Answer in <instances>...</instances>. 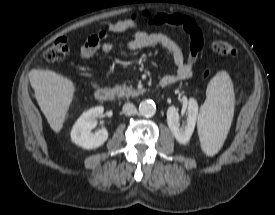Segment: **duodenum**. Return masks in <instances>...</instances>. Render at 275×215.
Here are the masks:
<instances>
[{
  "instance_id": "410a0bca",
  "label": "duodenum",
  "mask_w": 275,
  "mask_h": 215,
  "mask_svg": "<svg viewBox=\"0 0 275 215\" xmlns=\"http://www.w3.org/2000/svg\"><path fill=\"white\" fill-rule=\"evenodd\" d=\"M171 84L169 80H160V86L161 87H167ZM116 92L112 88H99L96 91V98L100 102H107L111 101L115 98Z\"/></svg>"
}]
</instances>
